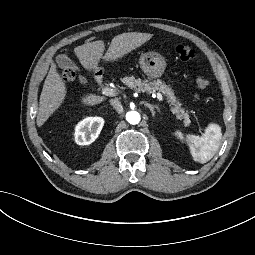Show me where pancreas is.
Listing matches in <instances>:
<instances>
[{
	"mask_svg": "<svg viewBox=\"0 0 255 255\" xmlns=\"http://www.w3.org/2000/svg\"><path fill=\"white\" fill-rule=\"evenodd\" d=\"M123 83L130 87L131 89L135 90L138 93L146 92L147 94H154L156 92H161L165 95L167 100L175 106L173 112L176 113V117L181 119L179 113L183 114L185 117V124L188 125L190 122L189 115L185 114V110L178 104L176 101V97L173 95V91L170 89V84H166L162 80H157L151 83L142 82L141 79L136 80L132 76H125L123 78Z\"/></svg>",
	"mask_w": 255,
	"mask_h": 255,
	"instance_id": "pancreas-1",
	"label": "pancreas"
}]
</instances>
